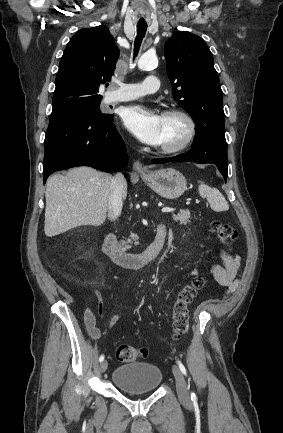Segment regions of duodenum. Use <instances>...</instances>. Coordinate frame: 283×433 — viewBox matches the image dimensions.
Masks as SVG:
<instances>
[{
	"instance_id": "obj_1",
	"label": "duodenum",
	"mask_w": 283,
	"mask_h": 433,
	"mask_svg": "<svg viewBox=\"0 0 283 433\" xmlns=\"http://www.w3.org/2000/svg\"><path fill=\"white\" fill-rule=\"evenodd\" d=\"M166 235V226L164 224H159L156 227L153 241L143 252L128 253L121 247L116 235L114 233H109L104 239L102 249L115 264L129 269H140L147 266L157 258L163 248Z\"/></svg>"
}]
</instances>
